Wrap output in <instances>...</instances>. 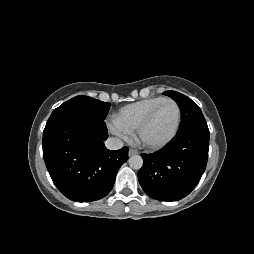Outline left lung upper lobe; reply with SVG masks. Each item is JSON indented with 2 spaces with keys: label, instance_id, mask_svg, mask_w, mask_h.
<instances>
[{
  "label": "left lung upper lobe",
  "instance_id": "1",
  "mask_svg": "<svg viewBox=\"0 0 254 254\" xmlns=\"http://www.w3.org/2000/svg\"><path fill=\"white\" fill-rule=\"evenodd\" d=\"M163 94L175 100L181 109L182 121L178 132L194 127H208L200 108L190 98L175 91H166Z\"/></svg>",
  "mask_w": 254,
  "mask_h": 254
}]
</instances>
